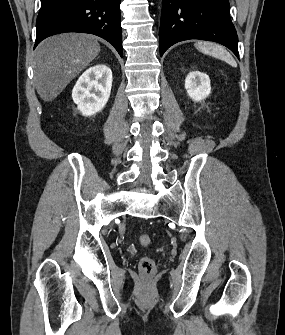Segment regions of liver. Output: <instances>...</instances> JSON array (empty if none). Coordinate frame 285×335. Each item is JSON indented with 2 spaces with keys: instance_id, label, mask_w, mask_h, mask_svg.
Returning <instances> with one entry per match:
<instances>
[{
  "instance_id": "1",
  "label": "liver",
  "mask_w": 285,
  "mask_h": 335,
  "mask_svg": "<svg viewBox=\"0 0 285 335\" xmlns=\"http://www.w3.org/2000/svg\"><path fill=\"white\" fill-rule=\"evenodd\" d=\"M100 52L96 36L60 34L41 42L34 56V86L44 102L55 100Z\"/></svg>"
}]
</instances>
